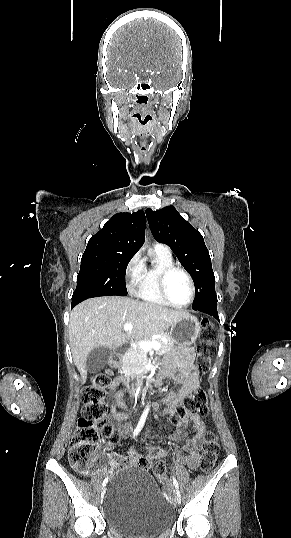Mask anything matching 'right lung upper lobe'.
<instances>
[{
    "mask_svg": "<svg viewBox=\"0 0 291 538\" xmlns=\"http://www.w3.org/2000/svg\"><path fill=\"white\" fill-rule=\"evenodd\" d=\"M145 240V213L142 210L115 214L93 235L84 253L110 252L134 255Z\"/></svg>",
    "mask_w": 291,
    "mask_h": 538,
    "instance_id": "1",
    "label": "right lung upper lobe"
}]
</instances>
